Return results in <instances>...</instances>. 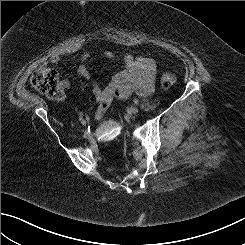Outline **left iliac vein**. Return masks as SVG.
Wrapping results in <instances>:
<instances>
[{"mask_svg":"<svg viewBox=\"0 0 245 245\" xmlns=\"http://www.w3.org/2000/svg\"><path fill=\"white\" fill-rule=\"evenodd\" d=\"M128 112H129L130 114H137V113L139 112V109H138L137 107H130V108L128 109Z\"/></svg>","mask_w":245,"mask_h":245,"instance_id":"4c4485c4","label":"left iliac vein"}]
</instances>
